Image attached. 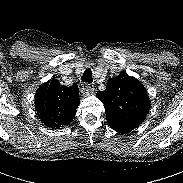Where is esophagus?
<instances>
[{
	"mask_svg": "<svg viewBox=\"0 0 183 183\" xmlns=\"http://www.w3.org/2000/svg\"><path fill=\"white\" fill-rule=\"evenodd\" d=\"M94 92V87L91 84H86L82 89L83 96H89Z\"/></svg>",
	"mask_w": 183,
	"mask_h": 183,
	"instance_id": "obj_1",
	"label": "esophagus"
}]
</instances>
